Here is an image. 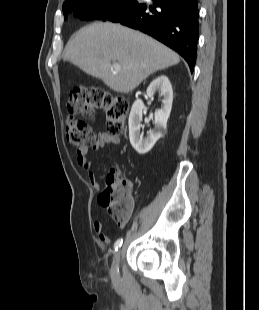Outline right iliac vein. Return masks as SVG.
I'll use <instances>...</instances> for the list:
<instances>
[{"label":"right iliac vein","instance_id":"right-iliac-vein-1","mask_svg":"<svg viewBox=\"0 0 259 310\" xmlns=\"http://www.w3.org/2000/svg\"><path fill=\"white\" fill-rule=\"evenodd\" d=\"M120 254L121 251H117L114 258H113V262H112V266H111V277L116 280L119 276V272H118V266H119V261H120Z\"/></svg>","mask_w":259,"mask_h":310}]
</instances>
